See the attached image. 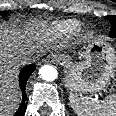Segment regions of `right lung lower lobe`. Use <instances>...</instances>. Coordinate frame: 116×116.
Returning a JSON list of instances; mask_svg holds the SVG:
<instances>
[{"mask_svg":"<svg viewBox=\"0 0 116 116\" xmlns=\"http://www.w3.org/2000/svg\"><path fill=\"white\" fill-rule=\"evenodd\" d=\"M35 70V65H27L26 67L22 68L19 74V86L22 91V102L15 113L14 116H24L26 112V107H27V95L25 93V86L27 83L28 78L31 76V73Z\"/></svg>","mask_w":116,"mask_h":116,"instance_id":"98d812e1","label":"right lung lower lobe"}]
</instances>
